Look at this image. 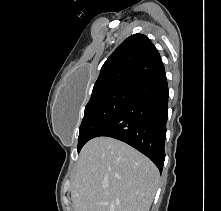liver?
<instances>
[{"label": "liver", "instance_id": "6515ba94", "mask_svg": "<svg viewBox=\"0 0 221 211\" xmlns=\"http://www.w3.org/2000/svg\"><path fill=\"white\" fill-rule=\"evenodd\" d=\"M159 170L128 144L98 137L82 148L72 181L74 211H149Z\"/></svg>", "mask_w": 221, "mask_h": 211}]
</instances>
